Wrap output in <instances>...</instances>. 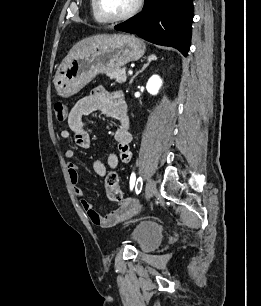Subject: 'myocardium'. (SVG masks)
Segmentation results:
<instances>
[{
    "label": "myocardium",
    "instance_id": "obj_1",
    "mask_svg": "<svg viewBox=\"0 0 261 306\" xmlns=\"http://www.w3.org/2000/svg\"><path fill=\"white\" fill-rule=\"evenodd\" d=\"M95 1V9L98 15L105 21V22H121L127 19H130L134 15H136L139 10L141 9L144 0H136L134 6L125 14L120 16H111L107 14L101 4V0H94Z\"/></svg>",
    "mask_w": 261,
    "mask_h": 306
}]
</instances>
